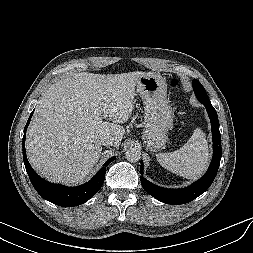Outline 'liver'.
<instances>
[{
  "mask_svg": "<svg viewBox=\"0 0 253 253\" xmlns=\"http://www.w3.org/2000/svg\"><path fill=\"white\" fill-rule=\"evenodd\" d=\"M149 73L82 72L50 85L27 131L32 167L53 182H81L99 160L103 139L112 138V145L119 147L125 134L119 124L130 118L137 82Z\"/></svg>",
  "mask_w": 253,
  "mask_h": 253,
  "instance_id": "obj_1",
  "label": "liver"
}]
</instances>
